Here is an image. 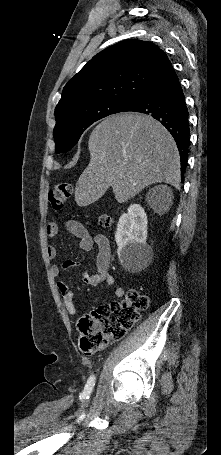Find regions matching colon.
I'll list each match as a JSON object with an SVG mask.
<instances>
[{
	"instance_id": "colon-1",
	"label": "colon",
	"mask_w": 221,
	"mask_h": 455,
	"mask_svg": "<svg viewBox=\"0 0 221 455\" xmlns=\"http://www.w3.org/2000/svg\"><path fill=\"white\" fill-rule=\"evenodd\" d=\"M72 194L73 187L70 183L55 185L48 194L51 209L61 211ZM99 222L102 226H109L112 218L102 215ZM148 304L149 300L145 295L131 290L122 302L100 306L90 314L82 316L78 320L81 351L84 353L101 351L110 341L122 339L139 320L141 312Z\"/></svg>"
}]
</instances>
